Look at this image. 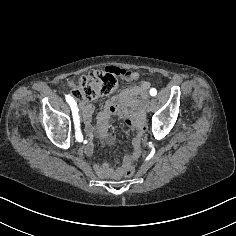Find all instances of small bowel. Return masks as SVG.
I'll use <instances>...</instances> for the list:
<instances>
[{
	"label": "small bowel",
	"instance_id": "c3829d8e",
	"mask_svg": "<svg viewBox=\"0 0 236 236\" xmlns=\"http://www.w3.org/2000/svg\"><path fill=\"white\" fill-rule=\"evenodd\" d=\"M122 70L124 74L121 77L125 80H140L138 72ZM149 88L150 84L142 81L139 84L127 86L109 98L103 109L97 115L96 127L91 123L94 111L93 105L87 101L81 102L82 117L87 135V141L83 149L87 155H91L94 152L92 143L94 135L99 138L102 146L113 145L115 138L114 135L109 132V120L113 115L119 116L135 133L133 152L125 157L124 164H127L131 159L136 158L140 154L146 126L144 105ZM93 168L97 175L103 178H116L122 170V167H115L110 164H95Z\"/></svg>",
	"mask_w": 236,
	"mask_h": 236
}]
</instances>
